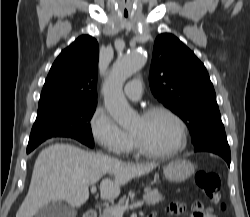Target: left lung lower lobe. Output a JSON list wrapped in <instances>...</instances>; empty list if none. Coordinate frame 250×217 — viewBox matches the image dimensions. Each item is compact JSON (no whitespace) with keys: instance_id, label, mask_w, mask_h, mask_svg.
<instances>
[{"instance_id":"obj_1","label":"left lung lower lobe","mask_w":250,"mask_h":217,"mask_svg":"<svg viewBox=\"0 0 250 217\" xmlns=\"http://www.w3.org/2000/svg\"><path fill=\"white\" fill-rule=\"evenodd\" d=\"M194 151H207L220 155L230 166L231 154L224 129L217 130L195 144Z\"/></svg>"}]
</instances>
